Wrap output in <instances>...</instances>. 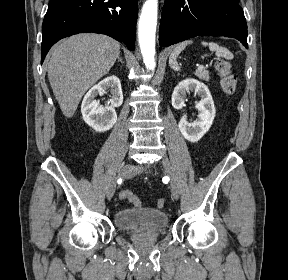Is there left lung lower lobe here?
<instances>
[{"mask_svg": "<svg viewBox=\"0 0 288 280\" xmlns=\"http://www.w3.org/2000/svg\"><path fill=\"white\" fill-rule=\"evenodd\" d=\"M247 33L237 0H165L159 44L165 47L196 36H227L248 48Z\"/></svg>", "mask_w": 288, "mask_h": 280, "instance_id": "obj_1", "label": "left lung lower lobe"}]
</instances>
